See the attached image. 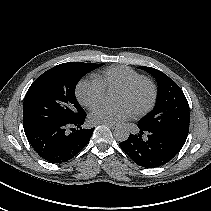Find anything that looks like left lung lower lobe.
Masks as SVG:
<instances>
[{"mask_svg": "<svg viewBox=\"0 0 211 211\" xmlns=\"http://www.w3.org/2000/svg\"><path fill=\"white\" fill-rule=\"evenodd\" d=\"M140 132L130 134L120 143L121 149L139 166L155 168L169 162L181 150L184 143L171 135L138 124ZM146 133L147 138H142Z\"/></svg>", "mask_w": 211, "mask_h": 211, "instance_id": "0a47b994", "label": "left lung lower lobe"}]
</instances>
